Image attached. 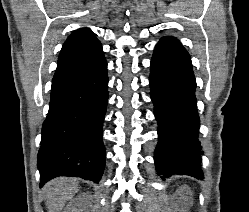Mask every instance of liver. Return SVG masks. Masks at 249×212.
I'll return each mask as SVG.
<instances>
[{"label":"liver","mask_w":249,"mask_h":212,"mask_svg":"<svg viewBox=\"0 0 249 212\" xmlns=\"http://www.w3.org/2000/svg\"><path fill=\"white\" fill-rule=\"evenodd\" d=\"M44 190L47 194L44 200L48 204V212H61L66 202L79 192L76 178H55L46 184Z\"/></svg>","instance_id":"liver-1"}]
</instances>
